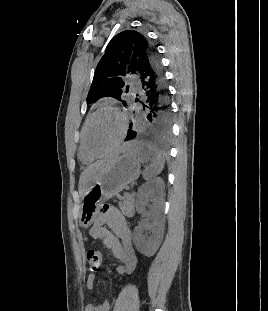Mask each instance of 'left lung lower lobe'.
I'll return each instance as SVG.
<instances>
[{"instance_id": "left-lung-lower-lobe-1", "label": "left lung lower lobe", "mask_w": 268, "mask_h": 311, "mask_svg": "<svg viewBox=\"0 0 268 311\" xmlns=\"http://www.w3.org/2000/svg\"><path fill=\"white\" fill-rule=\"evenodd\" d=\"M143 109L140 118L130 123L125 141H169L172 112L166 80L161 61L150 47L149 59L140 63L138 69ZM138 96V95H137Z\"/></svg>"}]
</instances>
